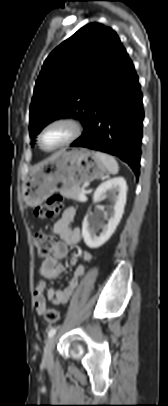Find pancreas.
Wrapping results in <instances>:
<instances>
[{"instance_id": "1", "label": "pancreas", "mask_w": 168, "mask_h": 406, "mask_svg": "<svg viewBox=\"0 0 168 406\" xmlns=\"http://www.w3.org/2000/svg\"><path fill=\"white\" fill-rule=\"evenodd\" d=\"M81 193H82V190L80 187L61 192V194L63 196H65L66 198H70V199H73L78 202H85L86 200H81V198H80Z\"/></svg>"}]
</instances>
